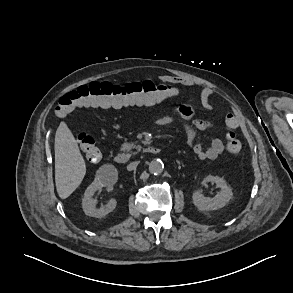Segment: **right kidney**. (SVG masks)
Segmentation results:
<instances>
[{
	"label": "right kidney",
	"mask_w": 293,
	"mask_h": 293,
	"mask_svg": "<svg viewBox=\"0 0 293 293\" xmlns=\"http://www.w3.org/2000/svg\"><path fill=\"white\" fill-rule=\"evenodd\" d=\"M111 175L105 178L97 176L94 181L87 187L82 200V208L86 215L102 218L112 212L116 207V200L111 199L105 206L96 207V200L93 198L95 192L103 186L110 185L117 178V170L110 167Z\"/></svg>",
	"instance_id": "ca27d5eb"
}]
</instances>
